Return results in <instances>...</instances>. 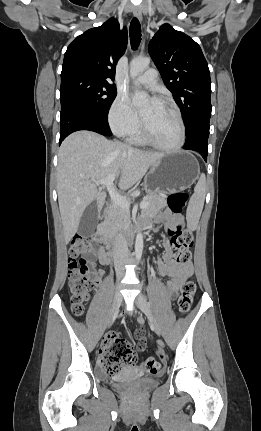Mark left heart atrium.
<instances>
[{
    "label": "left heart atrium",
    "instance_id": "1",
    "mask_svg": "<svg viewBox=\"0 0 261 431\" xmlns=\"http://www.w3.org/2000/svg\"><path fill=\"white\" fill-rule=\"evenodd\" d=\"M160 104H161L160 100L156 96H153L151 98L149 106L147 107L148 108L147 111H145V112L142 113V119H143V121H145V119L147 118L149 112H151L152 110L156 109Z\"/></svg>",
    "mask_w": 261,
    "mask_h": 431
}]
</instances>
